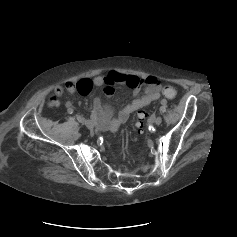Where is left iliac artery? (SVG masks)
Here are the masks:
<instances>
[{
  "label": "left iliac artery",
  "mask_w": 237,
  "mask_h": 237,
  "mask_svg": "<svg viewBox=\"0 0 237 237\" xmlns=\"http://www.w3.org/2000/svg\"><path fill=\"white\" fill-rule=\"evenodd\" d=\"M161 104H162V105L167 104V100H166V99H162V100H161Z\"/></svg>",
  "instance_id": "left-iliac-artery-1"
}]
</instances>
